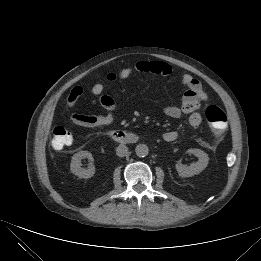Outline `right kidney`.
Listing matches in <instances>:
<instances>
[{
    "mask_svg": "<svg viewBox=\"0 0 261 261\" xmlns=\"http://www.w3.org/2000/svg\"><path fill=\"white\" fill-rule=\"evenodd\" d=\"M85 158H88L91 161L93 159L92 154L89 151H80L78 153H75L70 163V170L79 178L87 179L91 178L95 174V167L91 163L88 169L82 168L81 160Z\"/></svg>",
    "mask_w": 261,
    "mask_h": 261,
    "instance_id": "1",
    "label": "right kidney"
}]
</instances>
